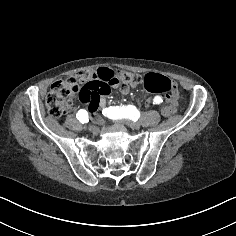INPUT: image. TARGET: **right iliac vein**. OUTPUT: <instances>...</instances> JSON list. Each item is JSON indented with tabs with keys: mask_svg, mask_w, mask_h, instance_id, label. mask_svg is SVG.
<instances>
[{
	"mask_svg": "<svg viewBox=\"0 0 236 236\" xmlns=\"http://www.w3.org/2000/svg\"><path fill=\"white\" fill-rule=\"evenodd\" d=\"M89 129H90L91 131H94V130H95V127H94L93 125H90V126H89Z\"/></svg>",
	"mask_w": 236,
	"mask_h": 236,
	"instance_id": "63e3f726",
	"label": "right iliac vein"
}]
</instances>
